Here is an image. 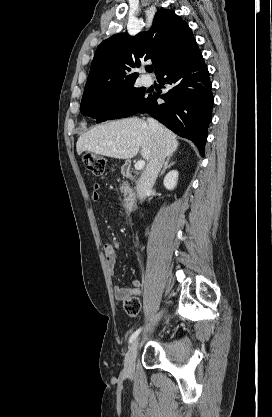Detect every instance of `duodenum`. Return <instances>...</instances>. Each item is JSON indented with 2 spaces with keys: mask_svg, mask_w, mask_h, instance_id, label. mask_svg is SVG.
Wrapping results in <instances>:
<instances>
[{
  "mask_svg": "<svg viewBox=\"0 0 272 417\" xmlns=\"http://www.w3.org/2000/svg\"><path fill=\"white\" fill-rule=\"evenodd\" d=\"M122 173L131 180H135L134 170L130 163L123 164ZM136 200V191L133 187H129L124 192L122 206L126 212H130Z\"/></svg>",
  "mask_w": 272,
  "mask_h": 417,
  "instance_id": "1",
  "label": "duodenum"
}]
</instances>
